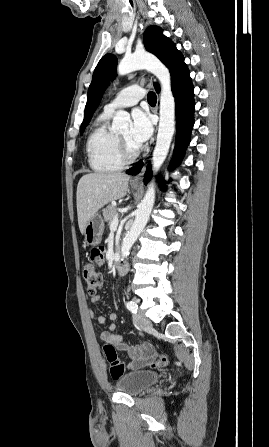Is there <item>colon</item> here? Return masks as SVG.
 <instances>
[{
	"mask_svg": "<svg viewBox=\"0 0 269 447\" xmlns=\"http://www.w3.org/2000/svg\"><path fill=\"white\" fill-rule=\"evenodd\" d=\"M104 260V252L101 249H94L90 252L89 260L82 265V277L86 283V291L90 296L97 294L98 290L103 284V275L101 273V266ZM103 352L106 356L110 366L108 373L114 380L121 379L128 371L127 366L118 358V352L111 344L103 346ZM132 353L139 356H147L153 353L151 348L139 347L133 349ZM151 368L164 367L168 365V357L165 355H158L151 358L148 364L138 363L133 367L134 370L140 371L144 366Z\"/></svg>",
	"mask_w": 269,
	"mask_h": 447,
	"instance_id": "obj_1",
	"label": "colon"
}]
</instances>
